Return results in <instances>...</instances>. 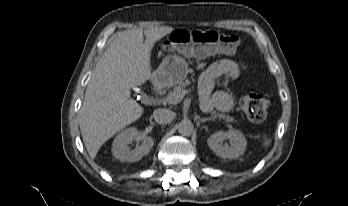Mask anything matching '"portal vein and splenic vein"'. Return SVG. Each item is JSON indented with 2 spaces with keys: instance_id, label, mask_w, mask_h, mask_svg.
Returning <instances> with one entry per match:
<instances>
[{
  "instance_id": "obj_1",
  "label": "portal vein and splenic vein",
  "mask_w": 348,
  "mask_h": 206,
  "mask_svg": "<svg viewBox=\"0 0 348 206\" xmlns=\"http://www.w3.org/2000/svg\"><path fill=\"white\" fill-rule=\"evenodd\" d=\"M189 91L183 90L180 92H172L168 94L166 98H163L164 102H167L169 104H177L183 100L186 94H188Z\"/></svg>"
}]
</instances>
